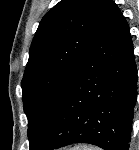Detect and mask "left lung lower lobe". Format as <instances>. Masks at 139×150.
<instances>
[{
    "label": "left lung lower lobe",
    "mask_w": 139,
    "mask_h": 150,
    "mask_svg": "<svg viewBox=\"0 0 139 150\" xmlns=\"http://www.w3.org/2000/svg\"><path fill=\"white\" fill-rule=\"evenodd\" d=\"M137 78L129 26L114 3L30 150L72 143L129 150Z\"/></svg>",
    "instance_id": "1"
}]
</instances>
